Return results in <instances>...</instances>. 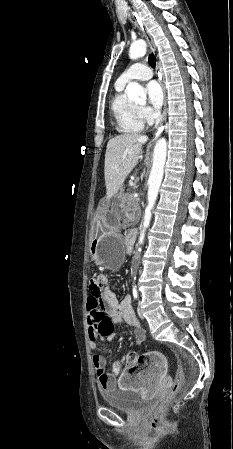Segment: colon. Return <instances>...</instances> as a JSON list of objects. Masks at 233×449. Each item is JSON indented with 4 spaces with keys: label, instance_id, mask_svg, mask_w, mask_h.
Masks as SVG:
<instances>
[{
    "label": "colon",
    "instance_id": "5ec220e1",
    "mask_svg": "<svg viewBox=\"0 0 233 449\" xmlns=\"http://www.w3.org/2000/svg\"><path fill=\"white\" fill-rule=\"evenodd\" d=\"M91 292V291H90ZM84 322L87 323L88 328H94L95 334H100L101 338H114L115 330L113 329V323L109 318V314H106V308H101L99 306V301H95L93 297H86L84 299ZM149 357L142 355L136 361L132 362L128 359L123 361L124 369L127 371L128 375H133L136 371L141 368L148 366ZM184 384V374L182 371H178L175 375L174 381L172 382L168 394L165 400L160 404V406L154 412V415H158L169 402L180 392ZM122 387L129 388L130 384L128 381L122 383Z\"/></svg>",
    "mask_w": 233,
    "mask_h": 449
}]
</instances>
